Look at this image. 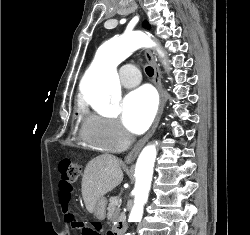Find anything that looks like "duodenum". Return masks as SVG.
I'll use <instances>...</instances> for the list:
<instances>
[{
    "mask_svg": "<svg viewBox=\"0 0 250 235\" xmlns=\"http://www.w3.org/2000/svg\"><path fill=\"white\" fill-rule=\"evenodd\" d=\"M124 233V227L121 226H117L114 230V232L112 233V235H123Z\"/></svg>",
    "mask_w": 250,
    "mask_h": 235,
    "instance_id": "duodenum-1",
    "label": "duodenum"
}]
</instances>
